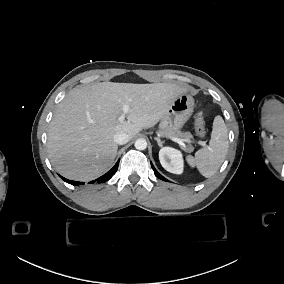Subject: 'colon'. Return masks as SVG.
Returning <instances> with one entry per match:
<instances>
[{
	"label": "colon",
	"mask_w": 284,
	"mask_h": 284,
	"mask_svg": "<svg viewBox=\"0 0 284 284\" xmlns=\"http://www.w3.org/2000/svg\"><path fill=\"white\" fill-rule=\"evenodd\" d=\"M195 131L199 137H204L206 131L203 112L199 111L195 115Z\"/></svg>",
	"instance_id": "1"
}]
</instances>
